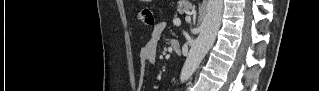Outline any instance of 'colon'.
Masks as SVG:
<instances>
[{
    "mask_svg": "<svg viewBox=\"0 0 319 91\" xmlns=\"http://www.w3.org/2000/svg\"><path fill=\"white\" fill-rule=\"evenodd\" d=\"M139 20L146 26H153L155 24V18L153 11L149 7H143L138 11Z\"/></svg>",
    "mask_w": 319,
    "mask_h": 91,
    "instance_id": "1",
    "label": "colon"
}]
</instances>
